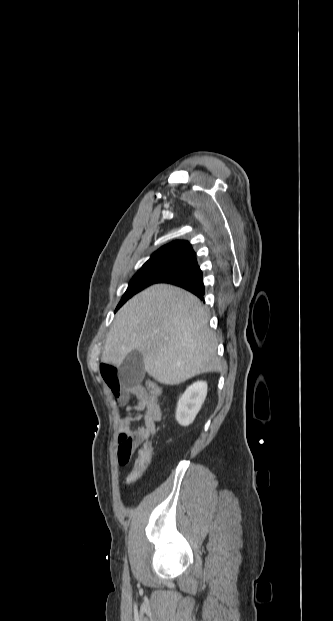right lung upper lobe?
I'll return each mask as SVG.
<instances>
[{"mask_svg":"<svg viewBox=\"0 0 333 621\" xmlns=\"http://www.w3.org/2000/svg\"><path fill=\"white\" fill-rule=\"evenodd\" d=\"M193 255H195V252L189 242L177 240L162 246L159 250L152 254L148 261L165 258H179L187 260Z\"/></svg>","mask_w":333,"mask_h":621,"instance_id":"1","label":"right lung upper lobe"}]
</instances>
